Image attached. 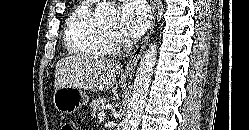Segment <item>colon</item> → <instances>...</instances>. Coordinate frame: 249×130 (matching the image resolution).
<instances>
[{
	"label": "colon",
	"instance_id": "1",
	"mask_svg": "<svg viewBox=\"0 0 249 130\" xmlns=\"http://www.w3.org/2000/svg\"><path fill=\"white\" fill-rule=\"evenodd\" d=\"M61 130H75L72 124L66 123L61 127Z\"/></svg>",
	"mask_w": 249,
	"mask_h": 130
}]
</instances>
